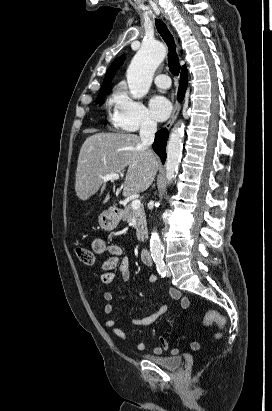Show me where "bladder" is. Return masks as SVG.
Masks as SVG:
<instances>
[{"instance_id":"bladder-1","label":"bladder","mask_w":272,"mask_h":411,"mask_svg":"<svg viewBox=\"0 0 272 411\" xmlns=\"http://www.w3.org/2000/svg\"><path fill=\"white\" fill-rule=\"evenodd\" d=\"M145 358L153 363L169 369L179 368L183 363V358L181 356L146 355Z\"/></svg>"}]
</instances>
